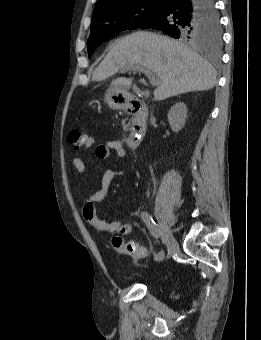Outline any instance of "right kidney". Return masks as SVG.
<instances>
[{
	"label": "right kidney",
	"instance_id": "ca27d5eb",
	"mask_svg": "<svg viewBox=\"0 0 261 340\" xmlns=\"http://www.w3.org/2000/svg\"><path fill=\"white\" fill-rule=\"evenodd\" d=\"M187 107L183 102H177L168 112V122L173 132H179L185 125Z\"/></svg>",
	"mask_w": 261,
	"mask_h": 340
}]
</instances>
